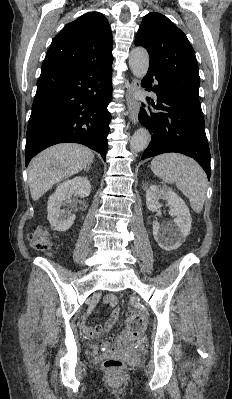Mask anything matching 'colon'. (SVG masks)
<instances>
[{"label":"colon","mask_w":232,"mask_h":399,"mask_svg":"<svg viewBox=\"0 0 232 399\" xmlns=\"http://www.w3.org/2000/svg\"><path fill=\"white\" fill-rule=\"evenodd\" d=\"M39 227V230L27 235L26 242L39 252H46L50 248L48 236L51 235L52 228L47 223H40ZM144 324L145 317L141 308H136L135 313H128L125 321L127 337H141ZM104 340L109 341V347L103 346V353H139L136 340H118L117 334H105ZM126 365V355H105V361H102V368H109L110 374H123Z\"/></svg>","instance_id":"1"}]
</instances>
